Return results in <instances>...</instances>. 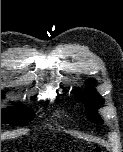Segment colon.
Listing matches in <instances>:
<instances>
[{
    "mask_svg": "<svg viewBox=\"0 0 123 152\" xmlns=\"http://www.w3.org/2000/svg\"><path fill=\"white\" fill-rule=\"evenodd\" d=\"M90 152H104V150L99 147H95Z\"/></svg>",
    "mask_w": 123,
    "mask_h": 152,
    "instance_id": "5ec220e1",
    "label": "colon"
}]
</instances>
